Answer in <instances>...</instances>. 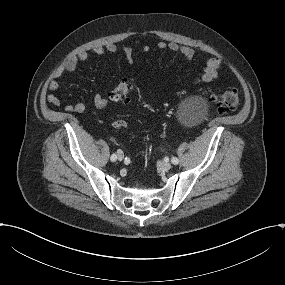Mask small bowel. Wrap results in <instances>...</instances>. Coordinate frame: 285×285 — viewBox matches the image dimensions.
<instances>
[{
    "mask_svg": "<svg viewBox=\"0 0 285 285\" xmlns=\"http://www.w3.org/2000/svg\"><path fill=\"white\" fill-rule=\"evenodd\" d=\"M158 50H168L172 53H177L182 55L188 61L192 62L196 58L195 50L189 46H181L174 42H159L157 44ZM150 48L145 46L143 52H149ZM91 51L99 56H102L106 53L115 55L119 52V48L114 43H107L106 45H97L94 46ZM124 56L129 63L133 61V50L130 46H124L122 48ZM88 59V52L81 51L77 54H74L68 57L63 61L52 73L48 88L51 91L47 95V101L55 106H62V102L57 96L60 85L59 80L66 74L76 70L79 63L85 62ZM221 60L217 57H211L206 60L204 70L200 77L194 81V85H200L203 83H208L214 80L220 71ZM94 103L97 109H105L109 105V100L102 95L98 94L94 98ZM65 111L74 112V113H83L86 110L85 104L78 102L74 104H68L63 106Z\"/></svg>",
    "mask_w": 285,
    "mask_h": 285,
    "instance_id": "obj_1",
    "label": "small bowel"
}]
</instances>
